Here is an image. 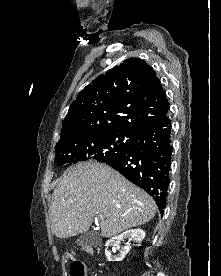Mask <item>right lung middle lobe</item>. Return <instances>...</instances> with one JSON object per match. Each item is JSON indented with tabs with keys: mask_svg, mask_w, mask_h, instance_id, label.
I'll return each instance as SVG.
<instances>
[{
	"mask_svg": "<svg viewBox=\"0 0 221 276\" xmlns=\"http://www.w3.org/2000/svg\"><path fill=\"white\" fill-rule=\"evenodd\" d=\"M125 138H128L125 140ZM132 143V136L123 132L95 133L86 138L71 139L56 144L58 165L77 163L89 159L106 162L127 151Z\"/></svg>",
	"mask_w": 221,
	"mask_h": 276,
	"instance_id": "dd1d6c3e",
	"label": "right lung middle lobe"
}]
</instances>
